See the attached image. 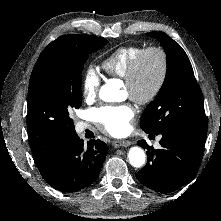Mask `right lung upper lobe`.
Instances as JSON below:
<instances>
[{
    "instance_id": "obj_1",
    "label": "right lung upper lobe",
    "mask_w": 221,
    "mask_h": 221,
    "mask_svg": "<svg viewBox=\"0 0 221 221\" xmlns=\"http://www.w3.org/2000/svg\"><path fill=\"white\" fill-rule=\"evenodd\" d=\"M78 35H63L51 42L44 51L63 49L74 44ZM31 151L37 166L42 165L52 150L65 138L76 134L67 132L62 134H48L40 129H34L27 125Z\"/></svg>"
}]
</instances>
